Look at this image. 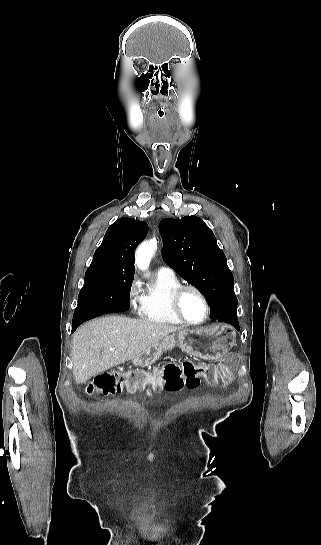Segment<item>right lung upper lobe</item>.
<instances>
[{"label": "right lung upper lobe", "instance_id": "right-lung-upper-lobe-1", "mask_svg": "<svg viewBox=\"0 0 321 545\" xmlns=\"http://www.w3.org/2000/svg\"><path fill=\"white\" fill-rule=\"evenodd\" d=\"M148 225L133 218H120L107 229L87 271L134 275V249L145 238Z\"/></svg>", "mask_w": 321, "mask_h": 545}]
</instances>
